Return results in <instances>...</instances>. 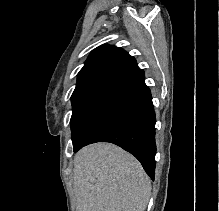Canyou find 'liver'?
Segmentation results:
<instances>
[{"instance_id":"liver-1","label":"liver","mask_w":219,"mask_h":211,"mask_svg":"<svg viewBox=\"0 0 219 211\" xmlns=\"http://www.w3.org/2000/svg\"><path fill=\"white\" fill-rule=\"evenodd\" d=\"M76 211H144L151 181L140 161L114 143H91L75 153Z\"/></svg>"}]
</instances>
